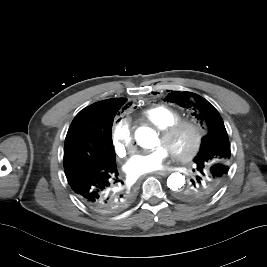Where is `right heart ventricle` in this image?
Masks as SVG:
<instances>
[{"label": "right heart ventricle", "mask_w": 267, "mask_h": 267, "mask_svg": "<svg viewBox=\"0 0 267 267\" xmlns=\"http://www.w3.org/2000/svg\"><path fill=\"white\" fill-rule=\"evenodd\" d=\"M181 112L175 108L166 105H157L144 110L141 118L155 127L162 129L172 122L180 119Z\"/></svg>", "instance_id": "e07e8e85"}]
</instances>
